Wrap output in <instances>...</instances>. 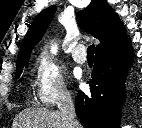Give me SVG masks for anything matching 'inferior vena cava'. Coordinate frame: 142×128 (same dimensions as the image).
Wrapping results in <instances>:
<instances>
[{
	"label": "inferior vena cava",
	"mask_w": 142,
	"mask_h": 128,
	"mask_svg": "<svg viewBox=\"0 0 142 128\" xmlns=\"http://www.w3.org/2000/svg\"><path fill=\"white\" fill-rule=\"evenodd\" d=\"M59 109L67 122V128H81L75 114L73 101L69 93L61 96Z\"/></svg>",
	"instance_id": "1"
}]
</instances>
